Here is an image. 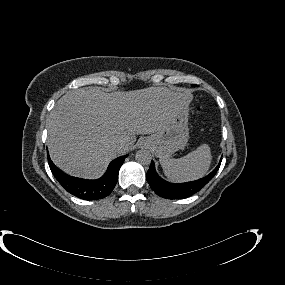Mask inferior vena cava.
I'll use <instances>...</instances> for the list:
<instances>
[{"instance_id":"1","label":"inferior vena cava","mask_w":285,"mask_h":285,"mask_svg":"<svg viewBox=\"0 0 285 285\" xmlns=\"http://www.w3.org/2000/svg\"><path fill=\"white\" fill-rule=\"evenodd\" d=\"M123 145H124V143L120 142V143L117 144V148H121V147H123Z\"/></svg>"}]
</instances>
